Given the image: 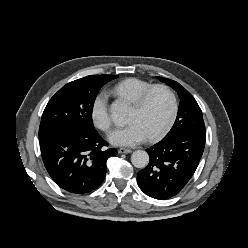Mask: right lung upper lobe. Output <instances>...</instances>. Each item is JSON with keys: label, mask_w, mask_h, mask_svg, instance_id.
<instances>
[{"label": "right lung upper lobe", "mask_w": 248, "mask_h": 248, "mask_svg": "<svg viewBox=\"0 0 248 248\" xmlns=\"http://www.w3.org/2000/svg\"><path fill=\"white\" fill-rule=\"evenodd\" d=\"M100 76H103V77H106V78H111V79H115V78L118 77V76H114V75H100Z\"/></svg>", "instance_id": "cb5924a9"}]
</instances>
